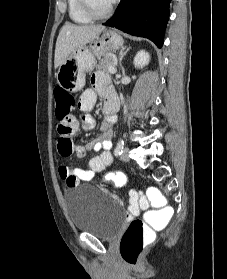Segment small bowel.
Wrapping results in <instances>:
<instances>
[{"label": "small bowel", "instance_id": "obj_1", "mask_svg": "<svg viewBox=\"0 0 227 279\" xmlns=\"http://www.w3.org/2000/svg\"><path fill=\"white\" fill-rule=\"evenodd\" d=\"M99 96L105 98L106 102L115 101L118 103V98L110 86L109 78L102 73L94 74L91 77V88L86 89L79 98L78 105L80 110L83 112L93 110ZM114 121V116L105 118L101 124V136L96 140L90 141L85 146L73 144L68 135L60 137L58 151L62 157H67L74 152L78 158H83L89 150L101 151L98 156L88 161L89 168L61 166L59 168V176L66 184L72 185L71 181L77 184L80 181L91 180L96 173L102 172L113 163L114 157L110 149ZM79 125L84 130L91 131L95 127V121L91 116H84L80 122L73 121L72 130L77 129ZM132 194L136 195V193ZM149 207L150 203L145 196L133 197L128 213L139 214Z\"/></svg>", "mask_w": 227, "mask_h": 279}]
</instances>
